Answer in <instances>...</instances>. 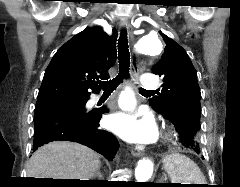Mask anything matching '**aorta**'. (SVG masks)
I'll return each instance as SVG.
<instances>
[{
  "label": "aorta",
  "instance_id": "1",
  "mask_svg": "<svg viewBox=\"0 0 240 187\" xmlns=\"http://www.w3.org/2000/svg\"><path fill=\"white\" fill-rule=\"evenodd\" d=\"M162 42L157 35H144L137 42V51L143 55H159L162 52ZM119 105L122 109L132 111L136 106L134 92L126 88L119 99ZM153 173V163L148 159L139 160L135 169V178L137 182H146Z\"/></svg>",
  "mask_w": 240,
  "mask_h": 187
}]
</instances>
